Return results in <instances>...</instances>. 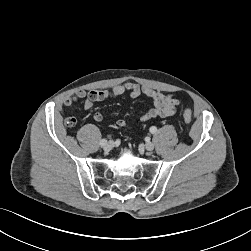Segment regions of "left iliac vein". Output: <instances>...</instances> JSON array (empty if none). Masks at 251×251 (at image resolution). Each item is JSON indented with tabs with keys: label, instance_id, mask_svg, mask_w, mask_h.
I'll return each mask as SVG.
<instances>
[{
	"label": "left iliac vein",
	"instance_id": "left-iliac-vein-1",
	"mask_svg": "<svg viewBox=\"0 0 251 251\" xmlns=\"http://www.w3.org/2000/svg\"><path fill=\"white\" fill-rule=\"evenodd\" d=\"M144 147L147 151H152L154 149V144L152 142H146Z\"/></svg>",
	"mask_w": 251,
	"mask_h": 251
}]
</instances>
